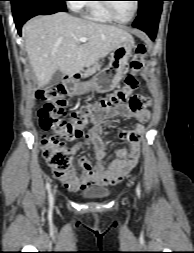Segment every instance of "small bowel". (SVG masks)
Here are the masks:
<instances>
[{
  "label": "small bowel",
  "instance_id": "c3829d8e",
  "mask_svg": "<svg viewBox=\"0 0 194 253\" xmlns=\"http://www.w3.org/2000/svg\"><path fill=\"white\" fill-rule=\"evenodd\" d=\"M127 97V104L116 107L101 115L93 121V126L84 135L81 141L73 144L69 153L76 155L87 144L92 147L95 162L81 156L78 160L80 172L71 168L65 172L54 170L55 177L71 191L85 189L92 185L105 186L120 182L137 164L141 138L145 132V124L149 121L151 113L149 107L151 99L132 93ZM123 117L133 119L135 122L128 130H122L119 137L126 146L114 152V158L107 160L108 148L103 141V127L101 122L107 118Z\"/></svg>",
  "mask_w": 194,
  "mask_h": 253
}]
</instances>
